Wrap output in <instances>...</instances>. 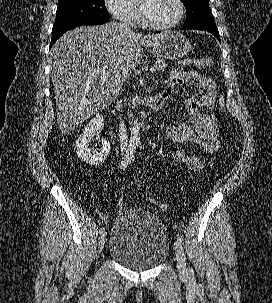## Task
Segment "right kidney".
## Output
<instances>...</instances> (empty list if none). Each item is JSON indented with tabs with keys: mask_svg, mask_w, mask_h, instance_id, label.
<instances>
[{
	"mask_svg": "<svg viewBox=\"0 0 272 303\" xmlns=\"http://www.w3.org/2000/svg\"><path fill=\"white\" fill-rule=\"evenodd\" d=\"M104 127V118L100 114H96L89 123L85 126L83 132L76 140V151L78 157L89 165H99L107 158L110 152V143L106 139L101 140L102 148L91 153V149L88 147L93 137L98 138Z\"/></svg>",
	"mask_w": 272,
	"mask_h": 303,
	"instance_id": "ca27d5eb",
	"label": "right kidney"
}]
</instances>
